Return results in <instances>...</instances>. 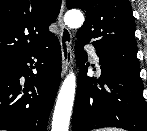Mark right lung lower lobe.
<instances>
[{"label": "right lung lower lobe", "mask_w": 147, "mask_h": 131, "mask_svg": "<svg viewBox=\"0 0 147 131\" xmlns=\"http://www.w3.org/2000/svg\"><path fill=\"white\" fill-rule=\"evenodd\" d=\"M32 57L37 59L35 67ZM60 73L61 48L56 37L43 47L1 63L0 130L46 131Z\"/></svg>", "instance_id": "right-lung-lower-lobe-1"}]
</instances>
